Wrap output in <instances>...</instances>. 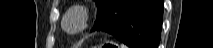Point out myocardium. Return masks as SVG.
Segmentation results:
<instances>
[{
  "label": "myocardium",
  "mask_w": 213,
  "mask_h": 48,
  "mask_svg": "<svg viewBox=\"0 0 213 48\" xmlns=\"http://www.w3.org/2000/svg\"><path fill=\"white\" fill-rule=\"evenodd\" d=\"M72 15H75L78 18L79 27L74 30H69L66 26V21ZM89 18H90L89 10L86 7L82 5H75L73 7H70L64 13V16L62 19V28L69 34H72V35L79 34L88 27Z\"/></svg>",
  "instance_id": "1"
}]
</instances>
